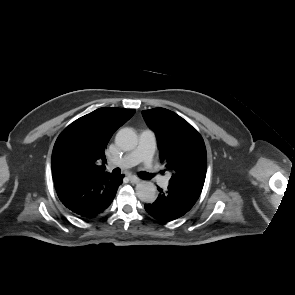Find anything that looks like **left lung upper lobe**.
Instances as JSON below:
<instances>
[{"label":"left lung upper lobe","mask_w":295,"mask_h":295,"mask_svg":"<svg viewBox=\"0 0 295 295\" xmlns=\"http://www.w3.org/2000/svg\"><path fill=\"white\" fill-rule=\"evenodd\" d=\"M156 133L160 160L172 177L169 186L201 193L207 170V154L201 135L182 117L164 108L142 111Z\"/></svg>","instance_id":"1"}]
</instances>
